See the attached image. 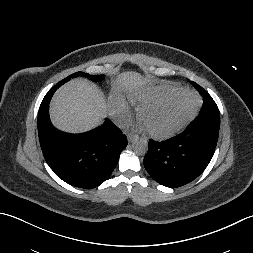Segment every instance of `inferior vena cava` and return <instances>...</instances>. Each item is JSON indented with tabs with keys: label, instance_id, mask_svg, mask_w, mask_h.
<instances>
[{
	"label": "inferior vena cava",
	"instance_id": "inferior-vena-cava-1",
	"mask_svg": "<svg viewBox=\"0 0 253 253\" xmlns=\"http://www.w3.org/2000/svg\"><path fill=\"white\" fill-rule=\"evenodd\" d=\"M114 121L118 124H121V120L119 118H114Z\"/></svg>",
	"mask_w": 253,
	"mask_h": 253
}]
</instances>
